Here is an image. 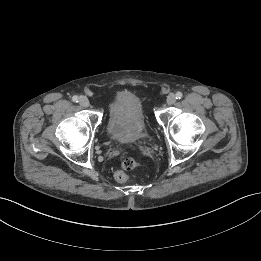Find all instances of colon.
I'll return each mask as SVG.
<instances>
[{
	"instance_id": "obj_1",
	"label": "colon",
	"mask_w": 261,
	"mask_h": 261,
	"mask_svg": "<svg viewBox=\"0 0 261 261\" xmlns=\"http://www.w3.org/2000/svg\"><path fill=\"white\" fill-rule=\"evenodd\" d=\"M138 166V163L130 157H122L121 170L115 172V180L119 183L126 182L128 179L127 172L134 170Z\"/></svg>"
}]
</instances>
